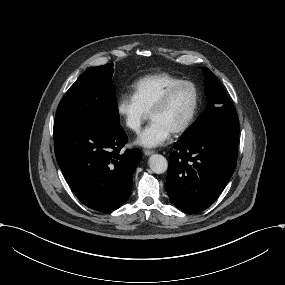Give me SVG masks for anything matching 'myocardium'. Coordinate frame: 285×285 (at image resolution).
<instances>
[{
	"label": "myocardium",
	"mask_w": 285,
	"mask_h": 285,
	"mask_svg": "<svg viewBox=\"0 0 285 285\" xmlns=\"http://www.w3.org/2000/svg\"><path fill=\"white\" fill-rule=\"evenodd\" d=\"M190 85L194 91V104L193 107L188 115V117L184 120V122L182 124H180L179 126H177L174 130L173 133H182L184 131H186L189 126L192 124V122L194 121L198 110H199V106H200V102H201V92L199 87L197 86V84L192 81V80H180L176 83H174L173 85H171L164 93L163 95L160 97V99L156 102V104L153 106L150 115H152L155 111L160 110L164 107H166L171 98L172 95L174 94L175 90L180 87L181 85Z\"/></svg>",
	"instance_id": "1"
}]
</instances>
